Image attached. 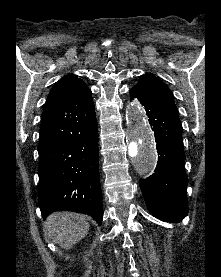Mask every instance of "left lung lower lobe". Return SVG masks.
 <instances>
[{"label":"left lung lower lobe","mask_w":221,"mask_h":277,"mask_svg":"<svg viewBox=\"0 0 221 277\" xmlns=\"http://www.w3.org/2000/svg\"><path fill=\"white\" fill-rule=\"evenodd\" d=\"M137 98L144 106L154 131L158 163L140 188L150 213L165 222H179L188 213L187 175L181 122L168 114L144 91L133 87L130 99Z\"/></svg>","instance_id":"obj_1"}]
</instances>
